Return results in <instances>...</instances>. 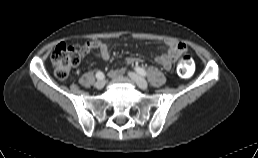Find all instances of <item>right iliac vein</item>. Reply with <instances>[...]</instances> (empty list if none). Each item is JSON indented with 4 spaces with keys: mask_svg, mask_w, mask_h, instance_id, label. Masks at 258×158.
Wrapping results in <instances>:
<instances>
[{
    "mask_svg": "<svg viewBox=\"0 0 258 158\" xmlns=\"http://www.w3.org/2000/svg\"><path fill=\"white\" fill-rule=\"evenodd\" d=\"M104 85H105V81L102 80V79L98 80V81L95 83V87H96L97 89H102V88L104 87Z\"/></svg>",
    "mask_w": 258,
    "mask_h": 158,
    "instance_id": "63e3f726",
    "label": "right iliac vein"
}]
</instances>
